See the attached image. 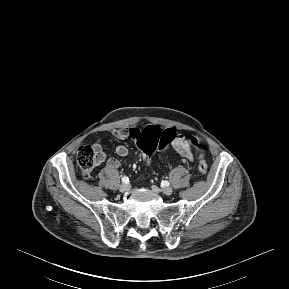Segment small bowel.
<instances>
[{"instance_id":"c3829d8e","label":"small bowel","mask_w":289,"mask_h":289,"mask_svg":"<svg viewBox=\"0 0 289 289\" xmlns=\"http://www.w3.org/2000/svg\"><path fill=\"white\" fill-rule=\"evenodd\" d=\"M112 136L118 140H125L131 136V130L129 129H116L112 132ZM175 150L181 157L189 162L194 161V155L190 144L184 136H178L173 142ZM94 149L100 156V163L105 161V153L102 149V136L98 137L94 142ZM115 152L120 157H126L129 154V149L125 145H118L115 148ZM107 165L111 168H118L120 166L119 160L116 158H109Z\"/></svg>"}]
</instances>
